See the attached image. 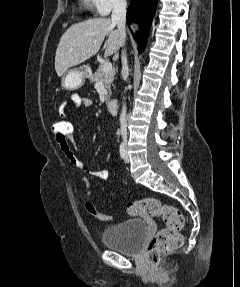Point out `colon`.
Returning a JSON list of instances; mask_svg holds the SVG:
<instances>
[{
	"label": "colon",
	"instance_id": "colon-1",
	"mask_svg": "<svg viewBox=\"0 0 240 287\" xmlns=\"http://www.w3.org/2000/svg\"><path fill=\"white\" fill-rule=\"evenodd\" d=\"M73 125L66 118L61 117L52 124V132L56 139L66 141L72 134ZM81 184L89 190L86 178L81 179ZM86 210L99 221H110L112 216L101 213L95 204L88 200ZM127 212L131 216L160 217L165 227L158 231L151 240L145 254L147 265L157 269L161 259L182 245L181 230L185 220L178 208L166 205L155 198H144L128 203Z\"/></svg>",
	"mask_w": 240,
	"mask_h": 287
}]
</instances>
